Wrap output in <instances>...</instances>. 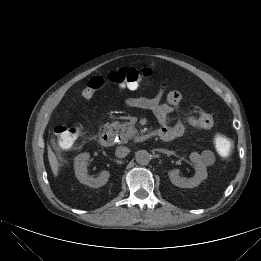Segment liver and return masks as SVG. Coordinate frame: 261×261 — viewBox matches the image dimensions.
<instances>
[{
    "mask_svg": "<svg viewBox=\"0 0 261 261\" xmlns=\"http://www.w3.org/2000/svg\"><path fill=\"white\" fill-rule=\"evenodd\" d=\"M48 160H49L50 167H51V170H52L54 176L57 177L58 171H59V162L50 146H48Z\"/></svg>",
    "mask_w": 261,
    "mask_h": 261,
    "instance_id": "liver-1",
    "label": "liver"
}]
</instances>
